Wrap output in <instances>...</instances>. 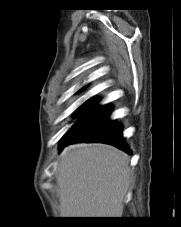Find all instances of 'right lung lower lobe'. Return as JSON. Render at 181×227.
<instances>
[{
	"label": "right lung lower lobe",
	"mask_w": 181,
	"mask_h": 227,
	"mask_svg": "<svg viewBox=\"0 0 181 227\" xmlns=\"http://www.w3.org/2000/svg\"><path fill=\"white\" fill-rule=\"evenodd\" d=\"M74 142L108 143L130 153L122 136V126L110 120L106 107L75 123L62 137L60 150Z\"/></svg>",
	"instance_id": "1"
}]
</instances>
